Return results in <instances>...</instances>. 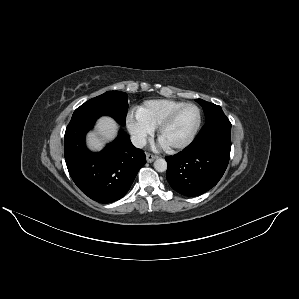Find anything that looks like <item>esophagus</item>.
I'll list each match as a JSON object with an SVG mask.
<instances>
[{
  "instance_id": "34e87169",
  "label": "esophagus",
  "mask_w": 299,
  "mask_h": 299,
  "mask_svg": "<svg viewBox=\"0 0 299 299\" xmlns=\"http://www.w3.org/2000/svg\"><path fill=\"white\" fill-rule=\"evenodd\" d=\"M158 156L151 154V153H146V160L147 162H153Z\"/></svg>"
}]
</instances>
